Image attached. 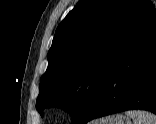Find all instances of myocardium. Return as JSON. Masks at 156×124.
Listing matches in <instances>:
<instances>
[{
	"mask_svg": "<svg viewBox=\"0 0 156 124\" xmlns=\"http://www.w3.org/2000/svg\"><path fill=\"white\" fill-rule=\"evenodd\" d=\"M74 107V105L72 104V103H65L64 105H63V108L64 109H67V110H71L72 108Z\"/></svg>",
	"mask_w": 156,
	"mask_h": 124,
	"instance_id": "1",
	"label": "myocardium"
}]
</instances>
